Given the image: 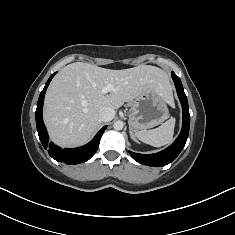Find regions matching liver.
I'll use <instances>...</instances> for the list:
<instances>
[{
    "instance_id": "1",
    "label": "liver",
    "mask_w": 235,
    "mask_h": 235,
    "mask_svg": "<svg viewBox=\"0 0 235 235\" xmlns=\"http://www.w3.org/2000/svg\"><path fill=\"white\" fill-rule=\"evenodd\" d=\"M108 84L114 90L103 94ZM150 89L167 103L173 102L168 75L158 67L112 70L84 62L67 65L54 77L45 96L43 118L50 139L62 147L83 145L100 126L102 107L118 109Z\"/></svg>"
}]
</instances>
